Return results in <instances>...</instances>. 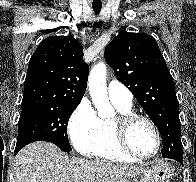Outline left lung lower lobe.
Returning a JSON list of instances; mask_svg holds the SVG:
<instances>
[{"instance_id": "obj_1", "label": "left lung lower lobe", "mask_w": 196, "mask_h": 182, "mask_svg": "<svg viewBox=\"0 0 196 182\" xmlns=\"http://www.w3.org/2000/svg\"><path fill=\"white\" fill-rule=\"evenodd\" d=\"M162 155H164L163 157L174 159V160L178 161L181 165H183V155H181L177 151H169V152L167 151L166 153H164Z\"/></svg>"}]
</instances>
